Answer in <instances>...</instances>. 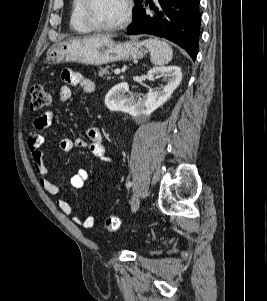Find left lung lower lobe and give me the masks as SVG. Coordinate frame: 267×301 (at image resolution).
<instances>
[{
    "instance_id": "0a47b994",
    "label": "left lung lower lobe",
    "mask_w": 267,
    "mask_h": 301,
    "mask_svg": "<svg viewBox=\"0 0 267 301\" xmlns=\"http://www.w3.org/2000/svg\"><path fill=\"white\" fill-rule=\"evenodd\" d=\"M160 6H150L147 13L143 5L127 28V35L149 34L166 38L185 49L196 59L200 35L199 0H158ZM148 3L145 2V5Z\"/></svg>"
}]
</instances>
